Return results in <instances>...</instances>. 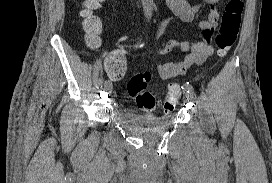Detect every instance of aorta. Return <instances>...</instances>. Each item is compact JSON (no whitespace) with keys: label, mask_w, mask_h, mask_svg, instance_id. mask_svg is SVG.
Returning a JSON list of instances; mask_svg holds the SVG:
<instances>
[{"label":"aorta","mask_w":272,"mask_h":183,"mask_svg":"<svg viewBox=\"0 0 272 183\" xmlns=\"http://www.w3.org/2000/svg\"><path fill=\"white\" fill-rule=\"evenodd\" d=\"M142 5H143V10H144V15L149 21L152 17L153 14V6L154 2L153 0H142Z\"/></svg>","instance_id":"aorta-1"}]
</instances>
